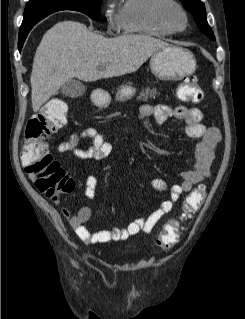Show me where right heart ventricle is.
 I'll use <instances>...</instances> for the list:
<instances>
[{
	"label": "right heart ventricle",
	"instance_id": "obj_1",
	"mask_svg": "<svg viewBox=\"0 0 245 319\" xmlns=\"http://www.w3.org/2000/svg\"><path fill=\"white\" fill-rule=\"evenodd\" d=\"M165 0H122L118 11L120 28L125 33L167 36L172 32L156 16L157 5Z\"/></svg>",
	"mask_w": 245,
	"mask_h": 319
}]
</instances>
